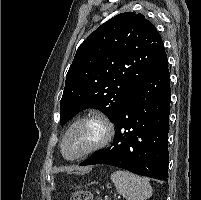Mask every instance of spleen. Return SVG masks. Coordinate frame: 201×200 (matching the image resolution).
<instances>
[{
    "mask_svg": "<svg viewBox=\"0 0 201 200\" xmlns=\"http://www.w3.org/2000/svg\"><path fill=\"white\" fill-rule=\"evenodd\" d=\"M116 190L127 200H147L152 195V188L148 180L124 170H117L111 174Z\"/></svg>",
    "mask_w": 201,
    "mask_h": 200,
    "instance_id": "3e777b00",
    "label": "spleen"
}]
</instances>
